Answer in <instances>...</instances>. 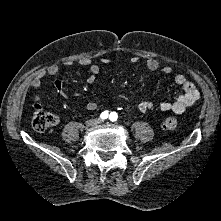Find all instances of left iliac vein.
Segmentation results:
<instances>
[{"instance_id": "4c4485c4", "label": "left iliac vein", "mask_w": 221, "mask_h": 221, "mask_svg": "<svg viewBox=\"0 0 221 221\" xmlns=\"http://www.w3.org/2000/svg\"><path fill=\"white\" fill-rule=\"evenodd\" d=\"M101 123H102V122L98 120L96 124H101Z\"/></svg>"}]
</instances>
